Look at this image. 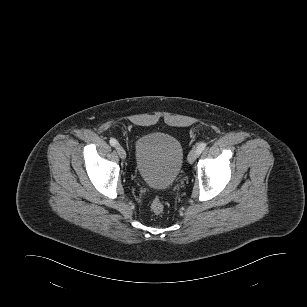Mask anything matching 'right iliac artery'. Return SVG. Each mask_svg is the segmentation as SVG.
<instances>
[{"label":"right iliac artery","mask_w":307,"mask_h":307,"mask_svg":"<svg viewBox=\"0 0 307 307\" xmlns=\"http://www.w3.org/2000/svg\"><path fill=\"white\" fill-rule=\"evenodd\" d=\"M110 145L115 147L118 145V141L115 138H111L109 141Z\"/></svg>","instance_id":"obj_1"}]
</instances>
